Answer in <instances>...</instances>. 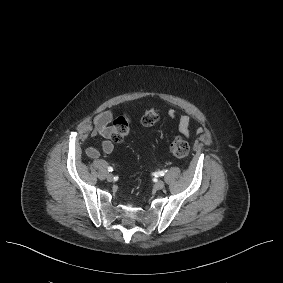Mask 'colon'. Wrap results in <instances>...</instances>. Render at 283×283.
I'll use <instances>...</instances> for the list:
<instances>
[{
	"label": "colon",
	"instance_id": "5ec220e1",
	"mask_svg": "<svg viewBox=\"0 0 283 283\" xmlns=\"http://www.w3.org/2000/svg\"><path fill=\"white\" fill-rule=\"evenodd\" d=\"M159 120V112L155 108L147 109L141 119L142 125L150 129ZM131 120L128 115L122 114L113 123L112 139L116 142L124 140L130 132ZM189 143L183 137H176L171 145L170 152L177 159H183L189 154Z\"/></svg>",
	"mask_w": 283,
	"mask_h": 283
}]
</instances>
